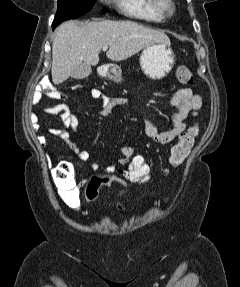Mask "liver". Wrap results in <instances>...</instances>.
<instances>
[{"label":"liver","instance_id":"obj_1","mask_svg":"<svg viewBox=\"0 0 240 287\" xmlns=\"http://www.w3.org/2000/svg\"><path fill=\"white\" fill-rule=\"evenodd\" d=\"M153 43L170 44V40L164 32L133 21L102 20L82 26L67 21L52 43V81L63 83L81 63L97 65L103 46L109 47L107 58L122 61Z\"/></svg>","mask_w":240,"mask_h":287}]
</instances>
